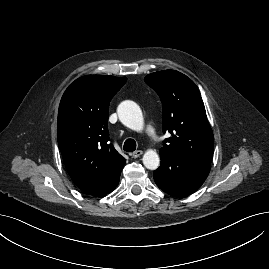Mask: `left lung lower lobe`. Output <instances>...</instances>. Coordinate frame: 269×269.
<instances>
[{"label": "left lung lower lobe", "instance_id": "obj_1", "mask_svg": "<svg viewBox=\"0 0 269 269\" xmlns=\"http://www.w3.org/2000/svg\"><path fill=\"white\" fill-rule=\"evenodd\" d=\"M161 165L154 171V181L167 194L188 196L199 189L210 171V163L172 152L160 151Z\"/></svg>", "mask_w": 269, "mask_h": 269}]
</instances>
